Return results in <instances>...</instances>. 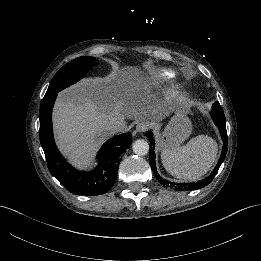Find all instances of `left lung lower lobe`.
<instances>
[{"label":"left lung lower lobe","instance_id":"left-lung-lower-lobe-1","mask_svg":"<svg viewBox=\"0 0 261 261\" xmlns=\"http://www.w3.org/2000/svg\"><path fill=\"white\" fill-rule=\"evenodd\" d=\"M211 117H212L214 123L217 125V127L219 129L221 137L224 140H227L225 115H224V112H223V109H222L221 105L217 101L212 105ZM146 136L152 142V144H154V138H153L152 132L151 131L147 132ZM227 148H228V145L225 142L223 144V147H222L221 157L218 160V164L216 165L214 170L211 172V174L207 178H205V179H203L201 181H198L196 183L179 184L180 188L185 189V190H197V189H200L202 187L207 186L213 180V178L215 177L216 173L218 172V169H219L220 165L224 161L225 155L227 153ZM149 164H150L152 170L154 171V173L156 174V176L159 179H161L160 176L157 174V170H156L155 152H154L153 145H150Z\"/></svg>","mask_w":261,"mask_h":261}]
</instances>
